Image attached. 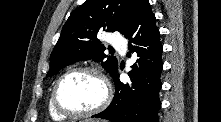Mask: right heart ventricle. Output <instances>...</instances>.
<instances>
[{
  "label": "right heart ventricle",
  "instance_id": "1",
  "mask_svg": "<svg viewBox=\"0 0 221 122\" xmlns=\"http://www.w3.org/2000/svg\"><path fill=\"white\" fill-rule=\"evenodd\" d=\"M48 111H49V114H50L51 118L55 121H61L66 117V116L58 113L54 109L53 104H52V100H51V95H50L49 100H48Z\"/></svg>",
  "mask_w": 221,
  "mask_h": 122
}]
</instances>
